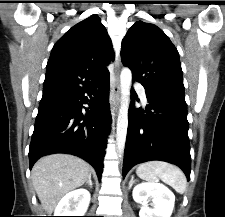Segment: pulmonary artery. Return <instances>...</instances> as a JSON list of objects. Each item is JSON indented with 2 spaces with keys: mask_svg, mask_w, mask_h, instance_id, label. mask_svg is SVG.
I'll return each mask as SVG.
<instances>
[{
  "mask_svg": "<svg viewBox=\"0 0 225 217\" xmlns=\"http://www.w3.org/2000/svg\"><path fill=\"white\" fill-rule=\"evenodd\" d=\"M135 89L137 90L138 94L140 95L141 99L143 102H147V98H146V93H145V89L142 85L137 84L135 86Z\"/></svg>",
  "mask_w": 225,
  "mask_h": 217,
  "instance_id": "e3ab8cb5",
  "label": "pulmonary artery"
}]
</instances>
